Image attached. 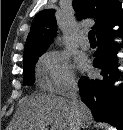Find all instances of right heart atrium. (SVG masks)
Instances as JSON below:
<instances>
[{
  "label": "right heart atrium",
  "mask_w": 123,
  "mask_h": 130,
  "mask_svg": "<svg viewBox=\"0 0 123 130\" xmlns=\"http://www.w3.org/2000/svg\"><path fill=\"white\" fill-rule=\"evenodd\" d=\"M38 69L51 92H64L76 83L74 68L68 56L60 51L46 52L39 61Z\"/></svg>",
  "instance_id": "1"
}]
</instances>
